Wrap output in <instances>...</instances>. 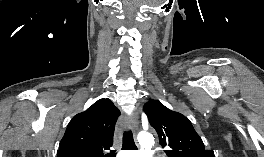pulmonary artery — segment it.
<instances>
[{
	"label": "pulmonary artery",
	"instance_id": "e3ab8cb5",
	"mask_svg": "<svg viewBox=\"0 0 264 157\" xmlns=\"http://www.w3.org/2000/svg\"><path fill=\"white\" fill-rule=\"evenodd\" d=\"M125 154L134 155V156H137V157H153L152 153L150 151H147V150H140V151H137V152L124 153L121 156H123Z\"/></svg>",
	"mask_w": 264,
	"mask_h": 157
}]
</instances>
